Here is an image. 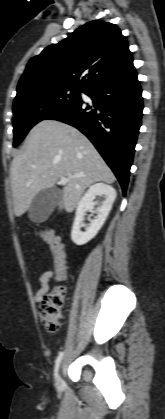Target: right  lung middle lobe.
<instances>
[{
	"label": "right lung middle lobe",
	"instance_id": "1",
	"mask_svg": "<svg viewBox=\"0 0 165 419\" xmlns=\"http://www.w3.org/2000/svg\"><path fill=\"white\" fill-rule=\"evenodd\" d=\"M81 92L85 91L76 88H53L14 101L13 146L16 147L28 131L41 120L78 103L81 100Z\"/></svg>",
	"mask_w": 165,
	"mask_h": 419
}]
</instances>
